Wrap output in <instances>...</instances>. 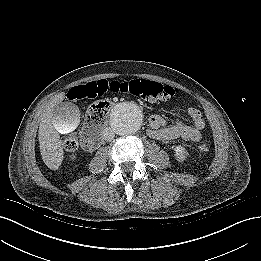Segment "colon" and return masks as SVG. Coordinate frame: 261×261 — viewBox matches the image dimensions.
Listing matches in <instances>:
<instances>
[{
	"mask_svg": "<svg viewBox=\"0 0 261 261\" xmlns=\"http://www.w3.org/2000/svg\"><path fill=\"white\" fill-rule=\"evenodd\" d=\"M129 94L150 102H165L171 99L177 90L172 86L163 85L146 79H132L125 81L98 80L76 86L69 92L71 100L83 98H98L103 95ZM110 111V103L107 101H97L90 105L86 114V122L89 127L102 124ZM84 144V143H83ZM211 147L209 139L200 141L198 148L201 152H208ZM80 148V142L75 135H71L64 141V149L71 159L76 157V152Z\"/></svg>",
	"mask_w": 261,
	"mask_h": 261,
	"instance_id": "obj_1",
	"label": "colon"
}]
</instances>
